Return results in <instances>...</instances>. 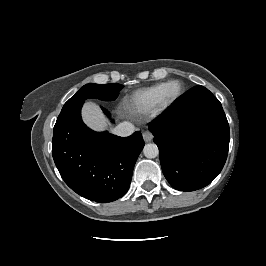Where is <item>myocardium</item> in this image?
I'll return each mask as SVG.
<instances>
[{"instance_id":"obj_1","label":"myocardium","mask_w":266,"mask_h":266,"mask_svg":"<svg viewBox=\"0 0 266 266\" xmlns=\"http://www.w3.org/2000/svg\"><path fill=\"white\" fill-rule=\"evenodd\" d=\"M172 86H177L178 90L175 93H170V88ZM182 92V86L178 81H171L166 84V88L164 90L163 98L160 107H165L169 105L175 98H177Z\"/></svg>"}]
</instances>
